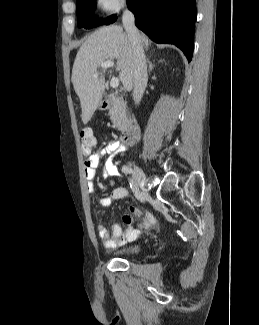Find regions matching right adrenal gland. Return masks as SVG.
Instances as JSON below:
<instances>
[{"mask_svg": "<svg viewBox=\"0 0 259 325\" xmlns=\"http://www.w3.org/2000/svg\"><path fill=\"white\" fill-rule=\"evenodd\" d=\"M147 63H148V67H149V72H151L153 70L154 65L152 64V62L150 61L149 58H147Z\"/></svg>", "mask_w": 259, "mask_h": 325, "instance_id": "1", "label": "right adrenal gland"}]
</instances>
